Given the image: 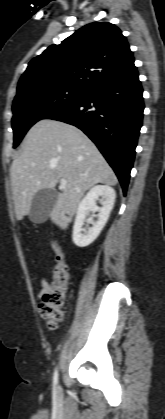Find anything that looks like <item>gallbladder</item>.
<instances>
[{
	"label": "gallbladder",
	"mask_w": 165,
	"mask_h": 419,
	"mask_svg": "<svg viewBox=\"0 0 165 419\" xmlns=\"http://www.w3.org/2000/svg\"><path fill=\"white\" fill-rule=\"evenodd\" d=\"M57 201V192L54 189L39 190L32 199L29 218L33 223H43L50 215Z\"/></svg>",
	"instance_id": "1"
}]
</instances>
